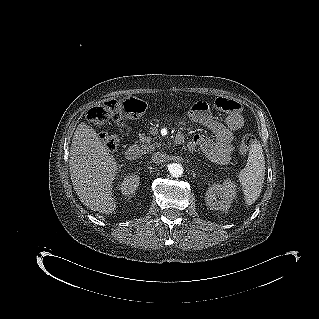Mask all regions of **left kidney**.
Wrapping results in <instances>:
<instances>
[{
    "instance_id": "1",
    "label": "left kidney",
    "mask_w": 319,
    "mask_h": 319,
    "mask_svg": "<svg viewBox=\"0 0 319 319\" xmlns=\"http://www.w3.org/2000/svg\"><path fill=\"white\" fill-rule=\"evenodd\" d=\"M236 196V185L231 180L223 184L215 183L210 186L205 195V201L212 210L227 211Z\"/></svg>"
}]
</instances>
